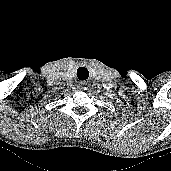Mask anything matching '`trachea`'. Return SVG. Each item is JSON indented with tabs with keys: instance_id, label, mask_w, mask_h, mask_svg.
<instances>
[{
	"instance_id": "1",
	"label": "trachea",
	"mask_w": 171,
	"mask_h": 171,
	"mask_svg": "<svg viewBox=\"0 0 171 171\" xmlns=\"http://www.w3.org/2000/svg\"><path fill=\"white\" fill-rule=\"evenodd\" d=\"M77 77L80 80H86L89 77L88 70H86L84 68H79L77 71Z\"/></svg>"
}]
</instances>
